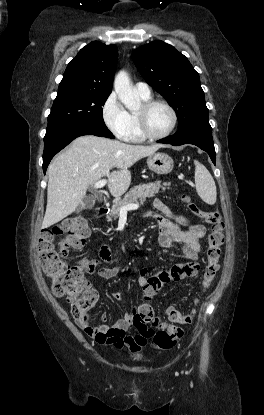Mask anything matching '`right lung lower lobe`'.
I'll return each instance as SVG.
<instances>
[{
  "label": "right lung lower lobe",
  "mask_w": 264,
  "mask_h": 415,
  "mask_svg": "<svg viewBox=\"0 0 264 415\" xmlns=\"http://www.w3.org/2000/svg\"><path fill=\"white\" fill-rule=\"evenodd\" d=\"M83 135H95L107 138H114L113 134L107 129L106 126H80L58 135L50 137L44 140V152H43V171L46 173V169L54 157L60 150L67 146L72 140Z\"/></svg>",
  "instance_id": "1"
}]
</instances>
